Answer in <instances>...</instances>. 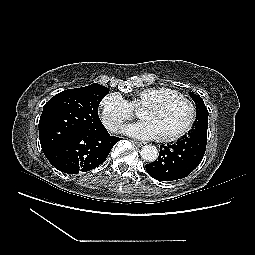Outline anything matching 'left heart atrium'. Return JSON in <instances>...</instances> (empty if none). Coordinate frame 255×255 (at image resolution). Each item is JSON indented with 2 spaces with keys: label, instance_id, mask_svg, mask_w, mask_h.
I'll use <instances>...</instances> for the list:
<instances>
[{
  "label": "left heart atrium",
  "instance_id": "1",
  "mask_svg": "<svg viewBox=\"0 0 255 255\" xmlns=\"http://www.w3.org/2000/svg\"><path fill=\"white\" fill-rule=\"evenodd\" d=\"M124 132L143 140H151L159 137L156 126L150 120H142L130 124L124 128Z\"/></svg>",
  "mask_w": 255,
  "mask_h": 255
}]
</instances>
